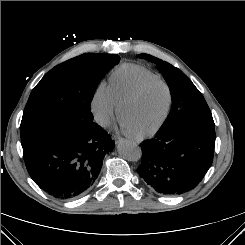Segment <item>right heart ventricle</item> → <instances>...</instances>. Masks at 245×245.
Instances as JSON below:
<instances>
[{
	"mask_svg": "<svg viewBox=\"0 0 245 245\" xmlns=\"http://www.w3.org/2000/svg\"><path fill=\"white\" fill-rule=\"evenodd\" d=\"M156 76L154 72L137 64H123L115 68L109 77V86L118 104L146 78Z\"/></svg>",
	"mask_w": 245,
	"mask_h": 245,
	"instance_id": "e07e8e85",
	"label": "right heart ventricle"
}]
</instances>
